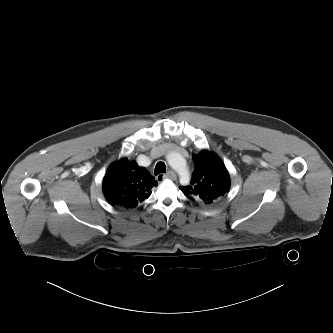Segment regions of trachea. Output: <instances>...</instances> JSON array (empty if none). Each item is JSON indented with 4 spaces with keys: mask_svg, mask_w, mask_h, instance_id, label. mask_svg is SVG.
I'll return each mask as SVG.
<instances>
[{
    "mask_svg": "<svg viewBox=\"0 0 333 333\" xmlns=\"http://www.w3.org/2000/svg\"><path fill=\"white\" fill-rule=\"evenodd\" d=\"M166 172V165L163 162H158L155 166L154 173L155 175H158L160 173H165Z\"/></svg>",
    "mask_w": 333,
    "mask_h": 333,
    "instance_id": "1",
    "label": "trachea"
}]
</instances>
